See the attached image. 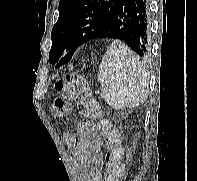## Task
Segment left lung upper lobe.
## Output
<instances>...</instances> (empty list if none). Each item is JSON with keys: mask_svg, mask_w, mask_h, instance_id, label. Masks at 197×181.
Listing matches in <instances>:
<instances>
[{"mask_svg": "<svg viewBox=\"0 0 197 181\" xmlns=\"http://www.w3.org/2000/svg\"><path fill=\"white\" fill-rule=\"evenodd\" d=\"M115 0H60L59 18L51 32L50 62L58 61L64 48L71 50L56 65L66 64L74 50L96 39V33Z\"/></svg>", "mask_w": 197, "mask_h": 181, "instance_id": "5c2ea615", "label": "left lung upper lobe"}]
</instances>
